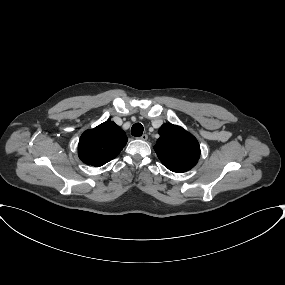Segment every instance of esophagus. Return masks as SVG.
<instances>
[{
    "label": "esophagus",
    "instance_id": "obj_1",
    "mask_svg": "<svg viewBox=\"0 0 285 285\" xmlns=\"http://www.w3.org/2000/svg\"><path fill=\"white\" fill-rule=\"evenodd\" d=\"M141 140L143 141H146L148 139V135L147 134H143L141 137H140Z\"/></svg>",
    "mask_w": 285,
    "mask_h": 285
}]
</instances>
